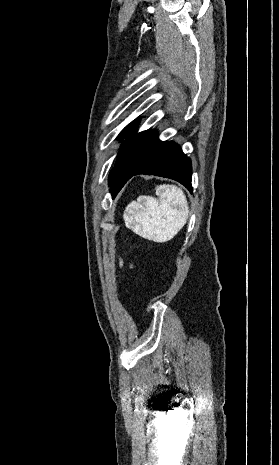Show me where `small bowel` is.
<instances>
[{
    "label": "small bowel",
    "instance_id": "small-bowel-1",
    "mask_svg": "<svg viewBox=\"0 0 279 465\" xmlns=\"http://www.w3.org/2000/svg\"><path fill=\"white\" fill-rule=\"evenodd\" d=\"M130 268H133V264H130Z\"/></svg>",
    "mask_w": 279,
    "mask_h": 465
}]
</instances>
